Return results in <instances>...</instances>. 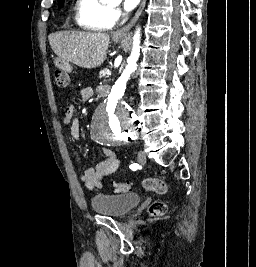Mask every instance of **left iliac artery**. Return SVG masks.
<instances>
[{
	"label": "left iliac artery",
	"instance_id": "1",
	"mask_svg": "<svg viewBox=\"0 0 256 267\" xmlns=\"http://www.w3.org/2000/svg\"><path fill=\"white\" fill-rule=\"evenodd\" d=\"M138 167H139V165L137 163L130 165V169H132V170H136V169H138Z\"/></svg>",
	"mask_w": 256,
	"mask_h": 267
}]
</instances>
